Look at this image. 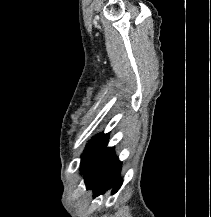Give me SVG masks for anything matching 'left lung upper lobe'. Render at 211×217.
Masks as SVG:
<instances>
[{"label":"left lung upper lobe","mask_w":211,"mask_h":217,"mask_svg":"<svg viewBox=\"0 0 211 217\" xmlns=\"http://www.w3.org/2000/svg\"><path fill=\"white\" fill-rule=\"evenodd\" d=\"M108 134H99L91 139L81 156V171L92 161L95 155L107 144Z\"/></svg>","instance_id":"obj_1"}]
</instances>
